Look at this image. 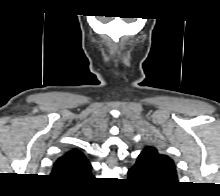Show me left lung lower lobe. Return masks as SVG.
<instances>
[{
	"mask_svg": "<svg viewBox=\"0 0 220 196\" xmlns=\"http://www.w3.org/2000/svg\"><path fill=\"white\" fill-rule=\"evenodd\" d=\"M128 174L129 179L131 180L140 181L144 184L156 186L155 181L140 161H137L135 165L129 169Z\"/></svg>",
	"mask_w": 220,
	"mask_h": 196,
	"instance_id": "obj_1",
	"label": "left lung lower lobe"
}]
</instances>
